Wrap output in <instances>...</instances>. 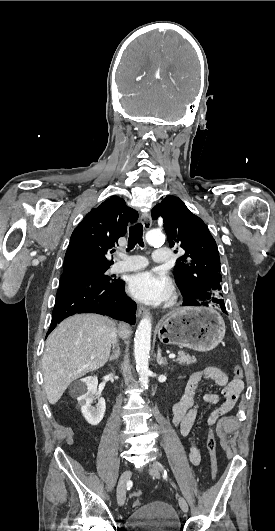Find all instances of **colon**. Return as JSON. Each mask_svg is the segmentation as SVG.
I'll return each instance as SVG.
<instances>
[{
    "instance_id": "1",
    "label": "colon",
    "mask_w": 275,
    "mask_h": 531,
    "mask_svg": "<svg viewBox=\"0 0 275 531\" xmlns=\"http://www.w3.org/2000/svg\"><path fill=\"white\" fill-rule=\"evenodd\" d=\"M234 372L237 376L242 375V367L241 365L236 364L234 366ZM205 435L207 438L206 446L208 449L209 454V464H210V470H211V476L213 479L217 476L218 471V464H217V455H216V440L214 436V432L212 429H208L205 432ZM133 498L136 496H140L142 494V491L140 489H136L135 491H132Z\"/></svg>"
}]
</instances>
